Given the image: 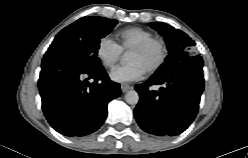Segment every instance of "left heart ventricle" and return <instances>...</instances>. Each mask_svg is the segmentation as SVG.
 Segmentation results:
<instances>
[{"instance_id":"left-heart-ventricle-1","label":"left heart ventricle","mask_w":248,"mask_h":158,"mask_svg":"<svg viewBox=\"0 0 248 158\" xmlns=\"http://www.w3.org/2000/svg\"><path fill=\"white\" fill-rule=\"evenodd\" d=\"M159 57V49L156 45H152L145 51H129L128 62H138L146 70L152 67Z\"/></svg>"}]
</instances>
